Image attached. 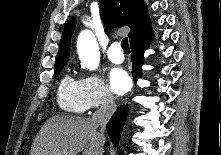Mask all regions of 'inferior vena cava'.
<instances>
[{
    "label": "inferior vena cava",
    "instance_id": "inferior-vena-cava-1",
    "mask_svg": "<svg viewBox=\"0 0 221 155\" xmlns=\"http://www.w3.org/2000/svg\"><path fill=\"white\" fill-rule=\"evenodd\" d=\"M115 109L116 104L113 98V94L108 90L105 93L103 104L97 111H95L92 116V120L101 126L100 135H103L105 126L114 113ZM100 155H102V153H100Z\"/></svg>",
    "mask_w": 221,
    "mask_h": 155
}]
</instances>
